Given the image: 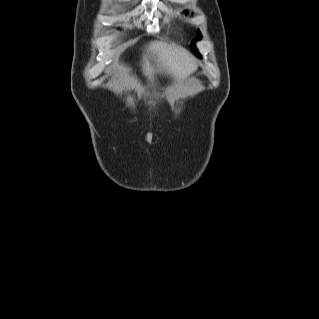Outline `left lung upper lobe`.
Returning a JSON list of instances; mask_svg holds the SVG:
<instances>
[{
    "label": "left lung upper lobe",
    "mask_w": 319,
    "mask_h": 319,
    "mask_svg": "<svg viewBox=\"0 0 319 319\" xmlns=\"http://www.w3.org/2000/svg\"><path fill=\"white\" fill-rule=\"evenodd\" d=\"M197 35H198V36L196 37V39H200V38H201V34H200L199 31L197 32ZM191 49L193 50V52H194L196 55L199 54L198 51H197V49L194 47L193 44L191 45Z\"/></svg>",
    "instance_id": "1"
}]
</instances>
